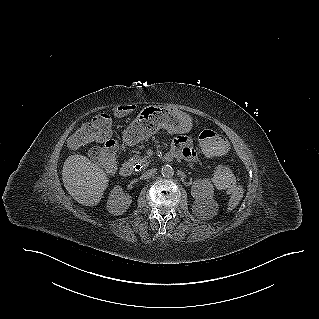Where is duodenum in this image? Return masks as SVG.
<instances>
[{"mask_svg":"<svg viewBox=\"0 0 319 319\" xmlns=\"http://www.w3.org/2000/svg\"><path fill=\"white\" fill-rule=\"evenodd\" d=\"M172 156H173L172 153H169L165 157L171 158ZM133 172H134V165L129 162L124 163L120 169V173L124 177L131 176Z\"/></svg>","mask_w":319,"mask_h":319,"instance_id":"410a0bca","label":"duodenum"}]
</instances>
